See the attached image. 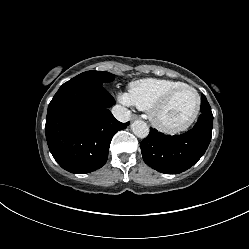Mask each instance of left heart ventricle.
Listing matches in <instances>:
<instances>
[{
  "label": "left heart ventricle",
  "mask_w": 249,
  "mask_h": 249,
  "mask_svg": "<svg viewBox=\"0 0 249 249\" xmlns=\"http://www.w3.org/2000/svg\"><path fill=\"white\" fill-rule=\"evenodd\" d=\"M196 105L195 94L188 89L178 91L170 102L158 113V119L165 125L176 126L184 123Z\"/></svg>",
  "instance_id": "b2bd125f"
}]
</instances>
